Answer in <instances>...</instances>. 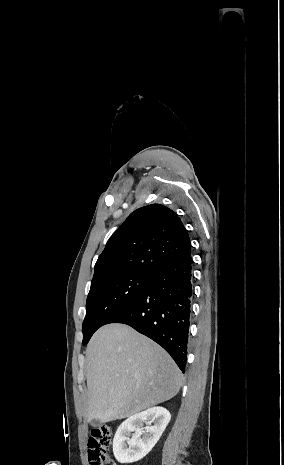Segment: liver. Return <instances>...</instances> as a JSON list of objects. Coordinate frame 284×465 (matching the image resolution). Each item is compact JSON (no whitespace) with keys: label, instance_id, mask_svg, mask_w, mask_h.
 I'll list each match as a JSON object with an SVG mask.
<instances>
[{"label":"liver","instance_id":"obj_1","mask_svg":"<svg viewBox=\"0 0 284 465\" xmlns=\"http://www.w3.org/2000/svg\"><path fill=\"white\" fill-rule=\"evenodd\" d=\"M87 423L132 417L179 393L181 373L159 345L127 325H105L86 349Z\"/></svg>","mask_w":284,"mask_h":465}]
</instances>
